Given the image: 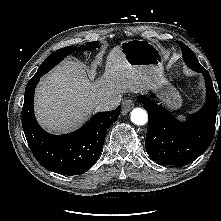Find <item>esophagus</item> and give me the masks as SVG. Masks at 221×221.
<instances>
[{"mask_svg": "<svg viewBox=\"0 0 221 221\" xmlns=\"http://www.w3.org/2000/svg\"><path fill=\"white\" fill-rule=\"evenodd\" d=\"M134 107V103L132 100H125L122 103V114L125 115L127 114L132 108Z\"/></svg>", "mask_w": 221, "mask_h": 221, "instance_id": "esophagus-1", "label": "esophagus"}]
</instances>
